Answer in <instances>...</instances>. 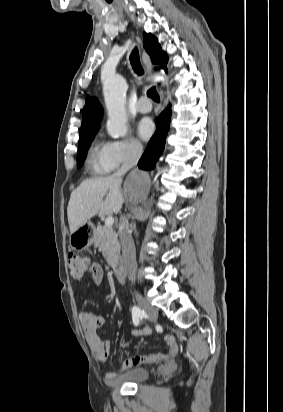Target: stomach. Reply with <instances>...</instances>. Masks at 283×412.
Wrapping results in <instances>:
<instances>
[{
    "label": "stomach",
    "instance_id": "1",
    "mask_svg": "<svg viewBox=\"0 0 283 412\" xmlns=\"http://www.w3.org/2000/svg\"><path fill=\"white\" fill-rule=\"evenodd\" d=\"M94 227L91 223L85 222L74 233L70 235L69 244L73 250H84L94 242Z\"/></svg>",
    "mask_w": 283,
    "mask_h": 412
}]
</instances>
